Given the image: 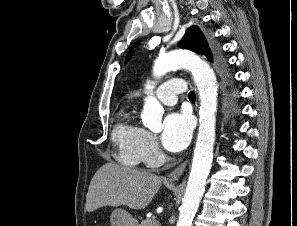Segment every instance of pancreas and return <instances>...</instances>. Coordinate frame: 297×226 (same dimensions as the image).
I'll list each match as a JSON object with an SVG mask.
<instances>
[{"label": "pancreas", "instance_id": "1", "mask_svg": "<svg viewBox=\"0 0 297 226\" xmlns=\"http://www.w3.org/2000/svg\"><path fill=\"white\" fill-rule=\"evenodd\" d=\"M139 226H160L159 222L154 219H145Z\"/></svg>", "mask_w": 297, "mask_h": 226}]
</instances>
